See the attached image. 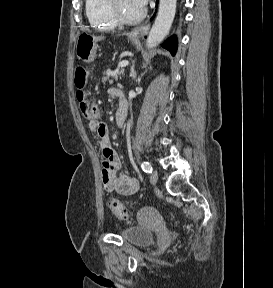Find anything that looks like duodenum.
Wrapping results in <instances>:
<instances>
[{
    "instance_id": "obj_1",
    "label": "duodenum",
    "mask_w": 273,
    "mask_h": 288,
    "mask_svg": "<svg viewBox=\"0 0 273 288\" xmlns=\"http://www.w3.org/2000/svg\"><path fill=\"white\" fill-rule=\"evenodd\" d=\"M117 100L119 102V112L117 119L119 123H123L127 115L128 104L124 94L121 91L117 92Z\"/></svg>"
}]
</instances>
